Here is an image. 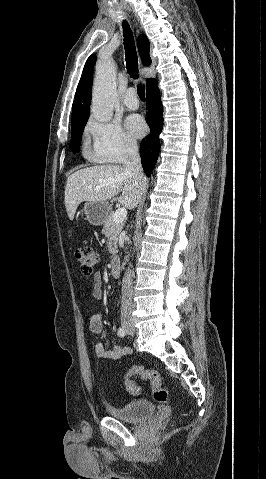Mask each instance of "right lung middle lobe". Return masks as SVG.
<instances>
[{
    "label": "right lung middle lobe",
    "mask_w": 266,
    "mask_h": 479,
    "mask_svg": "<svg viewBox=\"0 0 266 479\" xmlns=\"http://www.w3.org/2000/svg\"><path fill=\"white\" fill-rule=\"evenodd\" d=\"M88 118L72 123L71 150L78 152L84 126Z\"/></svg>",
    "instance_id": "obj_1"
}]
</instances>
